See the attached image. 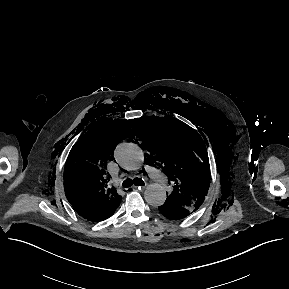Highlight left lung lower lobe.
<instances>
[{
  "mask_svg": "<svg viewBox=\"0 0 289 289\" xmlns=\"http://www.w3.org/2000/svg\"><path fill=\"white\" fill-rule=\"evenodd\" d=\"M158 209L163 216L171 220H180L191 214V211L187 208L174 206L168 203H164L159 206Z\"/></svg>",
  "mask_w": 289,
  "mask_h": 289,
  "instance_id": "obj_1",
  "label": "left lung lower lobe"
}]
</instances>
